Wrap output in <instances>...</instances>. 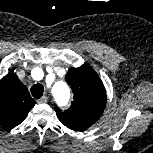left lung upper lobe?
Masks as SVG:
<instances>
[{
    "instance_id": "obj_1",
    "label": "left lung upper lobe",
    "mask_w": 153,
    "mask_h": 153,
    "mask_svg": "<svg viewBox=\"0 0 153 153\" xmlns=\"http://www.w3.org/2000/svg\"><path fill=\"white\" fill-rule=\"evenodd\" d=\"M66 81L74 93L71 107L62 111L55 106L58 119L74 131L92 126L102 115L106 105V90L97 73L88 64L71 68Z\"/></svg>"
}]
</instances>
